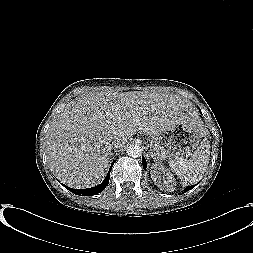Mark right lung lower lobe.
<instances>
[{"mask_svg":"<svg viewBox=\"0 0 253 253\" xmlns=\"http://www.w3.org/2000/svg\"><path fill=\"white\" fill-rule=\"evenodd\" d=\"M113 164H114V162L112 163L111 168H112ZM111 168H110L106 178L104 179V181L96 187L88 188V189H73V188L66 187L65 185L64 186L66 188H68L71 192H73L77 195H82V196L96 195V194L102 192L105 189V187L108 185Z\"/></svg>","mask_w":253,"mask_h":253,"instance_id":"98d812e1","label":"right lung lower lobe"}]
</instances>
